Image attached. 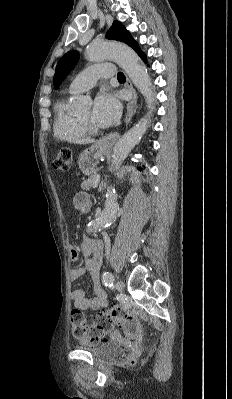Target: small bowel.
I'll use <instances>...</instances> for the list:
<instances>
[{
    "mask_svg": "<svg viewBox=\"0 0 232 399\" xmlns=\"http://www.w3.org/2000/svg\"><path fill=\"white\" fill-rule=\"evenodd\" d=\"M90 195L84 192L75 193L72 198V206L74 209L85 210L90 206ZM104 245L103 237L93 236L87 238L81 245V248H69V259L77 261L81 255L86 257V263L77 267L70 273L69 282L71 285L77 284L85 271H88L91 278L92 290L95 297L89 300L80 289H74L70 292V298L74 302V306L78 309L97 310L106 305V291L99 283V270L102 265L103 256L102 248Z\"/></svg>",
    "mask_w": 232,
    "mask_h": 399,
    "instance_id": "small-bowel-1",
    "label": "small bowel"
}]
</instances>
